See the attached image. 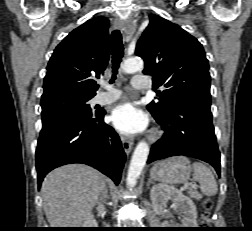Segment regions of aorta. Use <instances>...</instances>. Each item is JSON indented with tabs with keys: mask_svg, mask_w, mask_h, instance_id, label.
<instances>
[{
	"mask_svg": "<svg viewBox=\"0 0 252 231\" xmlns=\"http://www.w3.org/2000/svg\"><path fill=\"white\" fill-rule=\"evenodd\" d=\"M144 62L141 58H129L122 64V70L131 74L143 70ZM149 155V146L145 141H141L136 146L131 158L127 174V186L134 187L137 183Z\"/></svg>",
	"mask_w": 252,
	"mask_h": 231,
	"instance_id": "aorta-1",
	"label": "aorta"
}]
</instances>
